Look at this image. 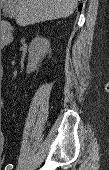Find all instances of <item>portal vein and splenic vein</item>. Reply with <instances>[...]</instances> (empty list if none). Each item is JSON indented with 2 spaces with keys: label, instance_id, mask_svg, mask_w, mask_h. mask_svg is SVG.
I'll return each mask as SVG.
<instances>
[{
  "label": "portal vein and splenic vein",
  "instance_id": "portal-vein-and-splenic-vein-1",
  "mask_svg": "<svg viewBox=\"0 0 109 170\" xmlns=\"http://www.w3.org/2000/svg\"><path fill=\"white\" fill-rule=\"evenodd\" d=\"M2 1H5V0H2ZM6 13L8 14L9 17H14L15 16V12H14V9L10 6H8L6 8Z\"/></svg>",
  "mask_w": 109,
  "mask_h": 170
}]
</instances>
